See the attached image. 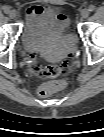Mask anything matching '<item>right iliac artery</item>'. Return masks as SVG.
I'll return each instance as SVG.
<instances>
[{
	"mask_svg": "<svg viewBox=\"0 0 104 137\" xmlns=\"http://www.w3.org/2000/svg\"><path fill=\"white\" fill-rule=\"evenodd\" d=\"M3 11H4L5 13H8V12H9V8H8L7 6L3 7Z\"/></svg>",
	"mask_w": 104,
	"mask_h": 137,
	"instance_id": "right-iliac-artery-1",
	"label": "right iliac artery"
}]
</instances>
